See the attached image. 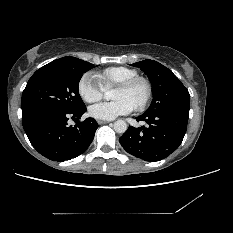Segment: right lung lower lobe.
Wrapping results in <instances>:
<instances>
[{
	"mask_svg": "<svg viewBox=\"0 0 233 233\" xmlns=\"http://www.w3.org/2000/svg\"><path fill=\"white\" fill-rule=\"evenodd\" d=\"M86 107L74 111L45 110L22 119L23 128L33 147L44 157L58 162L82 154L94 139L99 125L94 118L80 122ZM76 119L68 126V118Z\"/></svg>",
	"mask_w": 233,
	"mask_h": 233,
	"instance_id": "1",
	"label": "right lung lower lobe"
}]
</instances>
